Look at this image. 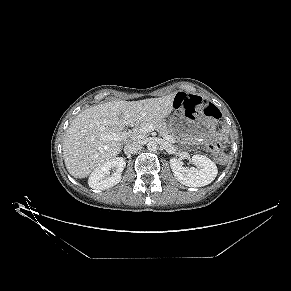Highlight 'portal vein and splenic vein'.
<instances>
[{"instance_id":"1","label":"portal vein and splenic vein","mask_w":291,"mask_h":291,"mask_svg":"<svg viewBox=\"0 0 291 291\" xmlns=\"http://www.w3.org/2000/svg\"><path fill=\"white\" fill-rule=\"evenodd\" d=\"M155 129V127L152 124H147L145 126H143L142 128L139 129V133L140 134H146L149 133L151 131H153ZM162 137L165 140L168 141H173V138L170 135L167 134H162ZM106 138L110 139V140H115V141H121V140H125L128 138V133L123 132H114V133H110L106 136Z\"/></svg>"}]
</instances>
